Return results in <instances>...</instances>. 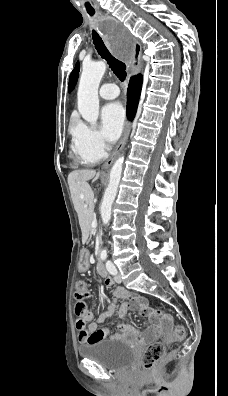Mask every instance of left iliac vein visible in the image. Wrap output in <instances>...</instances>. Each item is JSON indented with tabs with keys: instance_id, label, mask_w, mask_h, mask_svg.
I'll return each mask as SVG.
<instances>
[{
	"instance_id": "left-iliac-vein-1",
	"label": "left iliac vein",
	"mask_w": 228,
	"mask_h": 396,
	"mask_svg": "<svg viewBox=\"0 0 228 396\" xmlns=\"http://www.w3.org/2000/svg\"><path fill=\"white\" fill-rule=\"evenodd\" d=\"M114 280L117 283H121V281H122L121 275L119 273H116V275L114 276Z\"/></svg>"
}]
</instances>
